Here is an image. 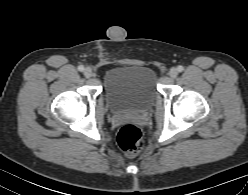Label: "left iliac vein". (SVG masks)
<instances>
[{
  "label": "left iliac vein",
  "instance_id": "left-iliac-vein-1",
  "mask_svg": "<svg viewBox=\"0 0 248 195\" xmlns=\"http://www.w3.org/2000/svg\"><path fill=\"white\" fill-rule=\"evenodd\" d=\"M178 69L177 68H171L170 71H169V76L171 78H176L177 75H178Z\"/></svg>",
  "mask_w": 248,
  "mask_h": 195
}]
</instances>
